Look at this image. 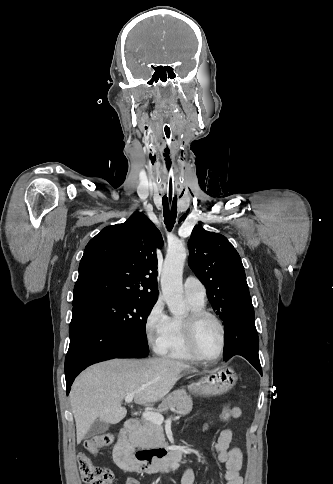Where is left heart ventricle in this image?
I'll list each match as a JSON object with an SVG mask.
<instances>
[{
	"label": "left heart ventricle",
	"mask_w": 333,
	"mask_h": 484,
	"mask_svg": "<svg viewBox=\"0 0 333 484\" xmlns=\"http://www.w3.org/2000/svg\"><path fill=\"white\" fill-rule=\"evenodd\" d=\"M220 330L217 324L211 319L203 320L196 334V344L199 352L207 358L214 357L220 348Z\"/></svg>",
	"instance_id": "1"
}]
</instances>
